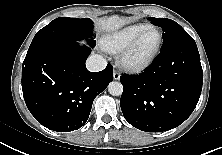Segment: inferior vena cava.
<instances>
[{"label": "inferior vena cava", "mask_w": 222, "mask_h": 155, "mask_svg": "<svg viewBox=\"0 0 222 155\" xmlns=\"http://www.w3.org/2000/svg\"><path fill=\"white\" fill-rule=\"evenodd\" d=\"M107 65L106 60L98 54L91 55L86 61V67L91 72H99L105 69Z\"/></svg>", "instance_id": "inferior-vena-cava-1"}]
</instances>
